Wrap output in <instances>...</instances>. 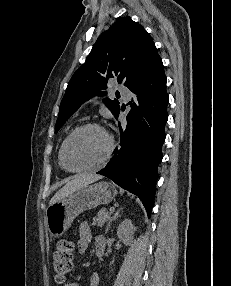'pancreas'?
Wrapping results in <instances>:
<instances>
[{"instance_id": "pancreas-1", "label": "pancreas", "mask_w": 231, "mask_h": 286, "mask_svg": "<svg viewBox=\"0 0 231 286\" xmlns=\"http://www.w3.org/2000/svg\"><path fill=\"white\" fill-rule=\"evenodd\" d=\"M110 215L111 212H108L105 209H101L98 212L97 216L93 218L92 225H97L99 227H102L105 224V222H107L110 219Z\"/></svg>"}]
</instances>
